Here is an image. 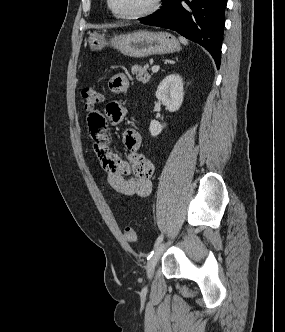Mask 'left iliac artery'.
<instances>
[{"label": "left iliac artery", "instance_id": "44dca946", "mask_svg": "<svg viewBox=\"0 0 285 332\" xmlns=\"http://www.w3.org/2000/svg\"><path fill=\"white\" fill-rule=\"evenodd\" d=\"M163 238H164V236H163V235H160V236L156 239L154 247H157V246L163 241ZM153 253H154V252L151 253V256H152Z\"/></svg>", "mask_w": 285, "mask_h": 332}]
</instances>
